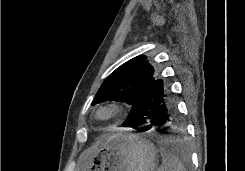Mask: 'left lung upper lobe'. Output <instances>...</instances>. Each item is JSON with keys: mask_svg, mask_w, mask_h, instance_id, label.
<instances>
[{"mask_svg": "<svg viewBox=\"0 0 245 171\" xmlns=\"http://www.w3.org/2000/svg\"><path fill=\"white\" fill-rule=\"evenodd\" d=\"M156 79L154 68L148 63L146 56L132 58L106 78L92 105L114 100L134 107L141 92Z\"/></svg>", "mask_w": 245, "mask_h": 171, "instance_id": "obj_1", "label": "left lung upper lobe"}]
</instances>
